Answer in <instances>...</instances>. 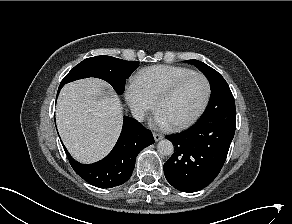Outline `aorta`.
Here are the masks:
<instances>
[{
	"label": "aorta",
	"mask_w": 292,
	"mask_h": 224,
	"mask_svg": "<svg viewBox=\"0 0 292 224\" xmlns=\"http://www.w3.org/2000/svg\"><path fill=\"white\" fill-rule=\"evenodd\" d=\"M158 152L163 156H170L174 152V146L171 141L164 139L157 145Z\"/></svg>",
	"instance_id": "obj_1"
}]
</instances>
